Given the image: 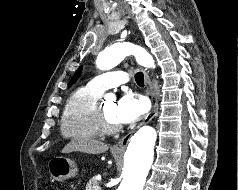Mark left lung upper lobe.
Returning a JSON list of instances; mask_svg holds the SVG:
<instances>
[{"label": "left lung upper lobe", "instance_id": "obj_1", "mask_svg": "<svg viewBox=\"0 0 238 190\" xmlns=\"http://www.w3.org/2000/svg\"><path fill=\"white\" fill-rule=\"evenodd\" d=\"M82 71V66L75 72L74 76L72 77L71 81H70V84L69 85H72L75 80L77 79V77L80 75Z\"/></svg>", "mask_w": 238, "mask_h": 190}]
</instances>
